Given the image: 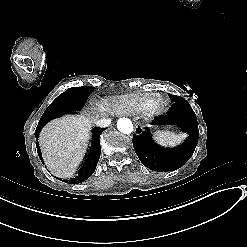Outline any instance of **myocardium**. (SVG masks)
Returning <instances> with one entry per match:
<instances>
[{
  "label": "myocardium",
  "mask_w": 247,
  "mask_h": 247,
  "mask_svg": "<svg viewBox=\"0 0 247 247\" xmlns=\"http://www.w3.org/2000/svg\"><path fill=\"white\" fill-rule=\"evenodd\" d=\"M154 102V113L159 112L164 106V99L161 96H152Z\"/></svg>",
  "instance_id": "obj_1"
}]
</instances>
